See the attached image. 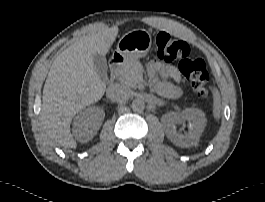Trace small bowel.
<instances>
[{
    "label": "small bowel",
    "instance_id": "c3829d8e",
    "mask_svg": "<svg viewBox=\"0 0 265 202\" xmlns=\"http://www.w3.org/2000/svg\"><path fill=\"white\" fill-rule=\"evenodd\" d=\"M148 69L153 76L159 74L173 82H178L181 78L179 69L173 65H161L153 62L148 66Z\"/></svg>",
    "mask_w": 265,
    "mask_h": 202
}]
</instances>
